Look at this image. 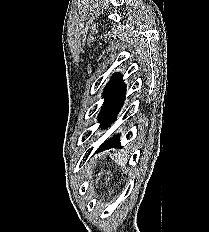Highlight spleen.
Listing matches in <instances>:
<instances>
[{
  "instance_id": "spleen-1",
  "label": "spleen",
  "mask_w": 209,
  "mask_h": 232,
  "mask_svg": "<svg viewBox=\"0 0 209 232\" xmlns=\"http://www.w3.org/2000/svg\"><path fill=\"white\" fill-rule=\"evenodd\" d=\"M110 156L112 157L115 163L121 165L122 167H126L128 160L124 154L115 153L113 154V156L110 154Z\"/></svg>"
}]
</instances>
